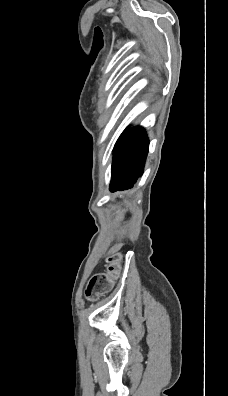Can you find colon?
I'll use <instances>...</instances> for the list:
<instances>
[{"instance_id": "obj_1", "label": "colon", "mask_w": 228, "mask_h": 396, "mask_svg": "<svg viewBox=\"0 0 228 396\" xmlns=\"http://www.w3.org/2000/svg\"><path fill=\"white\" fill-rule=\"evenodd\" d=\"M121 255L113 252L107 257V270L105 272L95 274L89 281L85 296L88 299H95L108 292L114 281L120 274Z\"/></svg>"}]
</instances>
